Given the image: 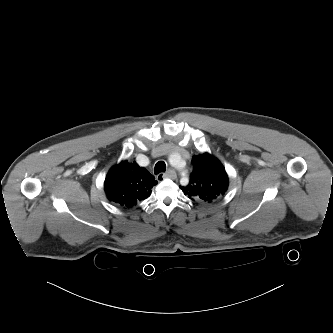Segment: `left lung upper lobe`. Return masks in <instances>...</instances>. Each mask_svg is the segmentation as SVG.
Here are the masks:
<instances>
[{"instance_id": "obj_1", "label": "left lung upper lobe", "mask_w": 333, "mask_h": 333, "mask_svg": "<svg viewBox=\"0 0 333 333\" xmlns=\"http://www.w3.org/2000/svg\"><path fill=\"white\" fill-rule=\"evenodd\" d=\"M193 171L187 186H180L192 200L214 203L221 199L228 188L229 179L225 168L214 156L204 153L193 156Z\"/></svg>"}]
</instances>
